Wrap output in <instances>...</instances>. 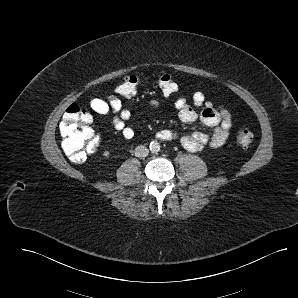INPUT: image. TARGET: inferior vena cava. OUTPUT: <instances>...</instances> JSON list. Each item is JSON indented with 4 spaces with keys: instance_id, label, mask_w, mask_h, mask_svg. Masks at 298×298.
Returning a JSON list of instances; mask_svg holds the SVG:
<instances>
[{
    "instance_id": "602c4592",
    "label": "inferior vena cava",
    "mask_w": 298,
    "mask_h": 298,
    "mask_svg": "<svg viewBox=\"0 0 298 298\" xmlns=\"http://www.w3.org/2000/svg\"><path fill=\"white\" fill-rule=\"evenodd\" d=\"M149 154V149L143 145L137 146L135 148L136 157H146Z\"/></svg>"
}]
</instances>
